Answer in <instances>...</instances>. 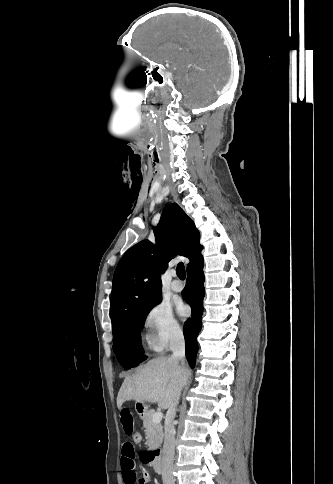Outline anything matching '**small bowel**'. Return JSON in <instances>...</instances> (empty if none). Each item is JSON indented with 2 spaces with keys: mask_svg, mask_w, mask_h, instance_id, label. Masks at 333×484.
Wrapping results in <instances>:
<instances>
[{
  "mask_svg": "<svg viewBox=\"0 0 333 484\" xmlns=\"http://www.w3.org/2000/svg\"><path fill=\"white\" fill-rule=\"evenodd\" d=\"M120 424L127 436L135 432V420L132 411L123 407L119 414ZM121 470L124 484H147L150 474L144 468H140V477L136 472L135 451L131 442H125L122 446Z\"/></svg>",
  "mask_w": 333,
  "mask_h": 484,
  "instance_id": "c3829d8e",
  "label": "small bowel"
}]
</instances>
